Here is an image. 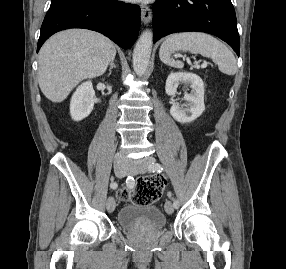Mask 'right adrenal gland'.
<instances>
[{
  "label": "right adrenal gland",
  "instance_id": "1",
  "mask_svg": "<svg viewBox=\"0 0 286 269\" xmlns=\"http://www.w3.org/2000/svg\"><path fill=\"white\" fill-rule=\"evenodd\" d=\"M113 68H116V65L114 64V59L110 62L109 74H111Z\"/></svg>",
  "mask_w": 286,
  "mask_h": 269
}]
</instances>
